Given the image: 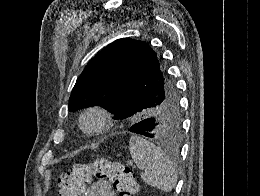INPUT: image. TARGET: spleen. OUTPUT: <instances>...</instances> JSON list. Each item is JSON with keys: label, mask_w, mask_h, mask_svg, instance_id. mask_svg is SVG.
<instances>
[{"label": "spleen", "mask_w": 260, "mask_h": 196, "mask_svg": "<svg viewBox=\"0 0 260 196\" xmlns=\"http://www.w3.org/2000/svg\"><path fill=\"white\" fill-rule=\"evenodd\" d=\"M129 150L133 162L142 170L143 182L162 192H171L178 176L174 162L169 160L165 152L141 136H131Z\"/></svg>", "instance_id": "spleen-1"}]
</instances>
